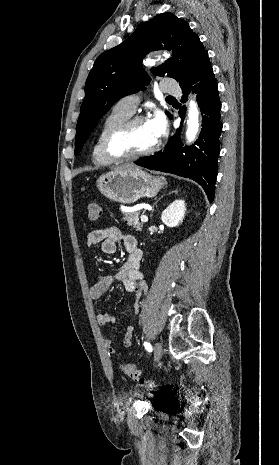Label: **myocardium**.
Returning a JSON list of instances; mask_svg holds the SVG:
<instances>
[{"instance_id": "1", "label": "myocardium", "mask_w": 279, "mask_h": 465, "mask_svg": "<svg viewBox=\"0 0 279 465\" xmlns=\"http://www.w3.org/2000/svg\"><path fill=\"white\" fill-rule=\"evenodd\" d=\"M143 122H148L147 119L144 116H131L128 119L118 123L117 125L113 126L104 136L103 141H102V152L103 155L109 159L110 161L113 162H119V161H128V160H135L143 157H147L151 154H153L158 146H159V141L156 139L154 144L149 147L148 149L141 151V152H136V153H117L113 150V142L115 139L124 134L126 131H128L131 127L138 123H143Z\"/></svg>"}]
</instances>
